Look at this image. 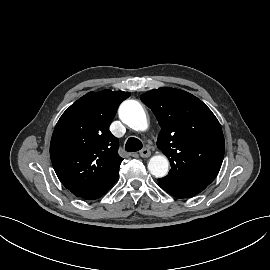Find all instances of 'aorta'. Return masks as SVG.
Wrapping results in <instances>:
<instances>
[{"label": "aorta", "mask_w": 270, "mask_h": 270, "mask_svg": "<svg viewBox=\"0 0 270 270\" xmlns=\"http://www.w3.org/2000/svg\"><path fill=\"white\" fill-rule=\"evenodd\" d=\"M119 118L136 131H145L148 128L146 113L141 104L135 100H126L121 104ZM168 168L169 161L164 155H155L149 160L148 170L157 178L166 176Z\"/></svg>", "instance_id": "762f6f07"}]
</instances>
